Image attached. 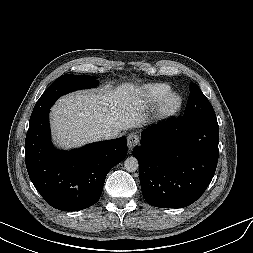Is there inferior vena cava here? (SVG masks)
<instances>
[{"instance_id": "obj_1", "label": "inferior vena cava", "mask_w": 253, "mask_h": 253, "mask_svg": "<svg viewBox=\"0 0 253 253\" xmlns=\"http://www.w3.org/2000/svg\"><path fill=\"white\" fill-rule=\"evenodd\" d=\"M97 135L101 139H111L116 136V134L111 129H102L97 132Z\"/></svg>"}]
</instances>
